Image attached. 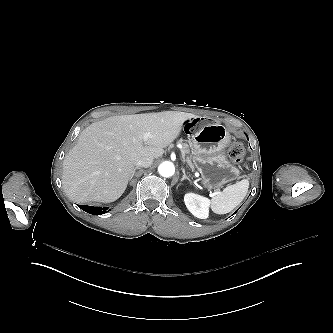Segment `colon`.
Segmentation results:
<instances>
[{"instance_id":"obj_1","label":"colon","mask_w":333,"mask_h":333,"mask_svg":"<svg viewBox=\"0 0 333 333\" xmlns=\"http://www.w3.org/2000/svg\"><path fill=\"white\" fill-rule=\"evenodd\" d=\"M245 153V149L240 142L234 141L231 143L228 154L230 158L236 162H240Z\"/></svg>"}]
</instances>
